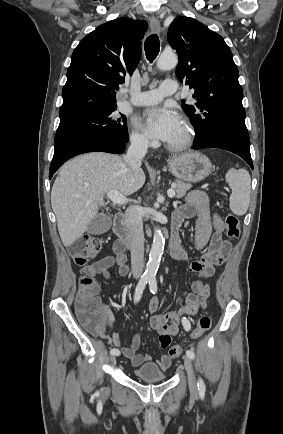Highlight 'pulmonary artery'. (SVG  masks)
Segmentation results:
<instances>
[{
	"label": "pulmonary artery",
	"instance_id": "pulmonary-artery-1",
	"mask_svg": "<svg viewBox=\"0 0 283 434\" xmlns=\"http://www.w3.org/2000/svg\"><path fill=\"white\" fill-rule=\"evenodd\" d=\"M177 91V83L174 80H164L156 89L135 93L130 100L136 106H147L160 102L164 97L173 95Z\"/></svg>",
	"mask_w": 283,
	"mask_h": 434
}]
</instances>
